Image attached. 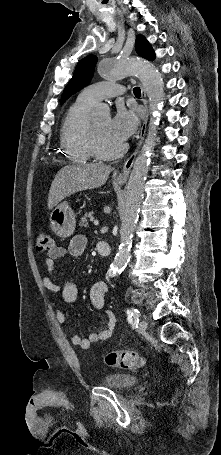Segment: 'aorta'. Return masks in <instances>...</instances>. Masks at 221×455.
<instances>
[{
	"label": "aorta",
	"mask_w": 221,
	"mask_h": 455,
	"mask_svg": "<svg viewBox=\"0 0 221 455\" xmlns=\"http://www.w3.org/2000/svg\"><path fill=\"white\" fill-rule=\"evenodd\" d=\"M99 75L109 81L120 80L136 75L142 82L149 99L150 121L147 137L142 151L136 158L131 171L125 201L121 210L120 245L111 264L113 275L120 273L130 260L132 238L139 217L140 204L144 194V184L148 173L152 149L164 103V83L162 75L150 62L141 58L121 57L116 60H104L98 66ZM109 107L99 104L92 113L96 120L109 115Z\"/></svg>",
	"instance_id": "1"
}]
</instances>
